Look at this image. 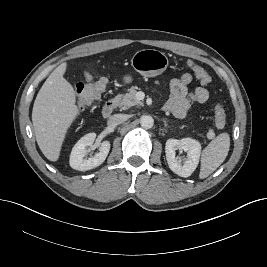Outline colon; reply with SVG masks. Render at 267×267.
<instances>
[{
    "label": "colon",
    "instance_id": "colon-1",
    "mask_svg": "<svg viewBox=\"0 0 267 267\" xmlns=\"http://www.w3.org/2000/svg\"><path fill=\"white\" fill-rule=\"evenodd\" d=\"M189 66L192 68L195 76L200 80L202 84L208 85L211 82V77L207 71L201 66L189 62ZM107 85V80L101 78L96 81H89L87 83H80L77 86V98L76 108L78 111H82L90 107L94 101H96ZM214 118L216 127L222 129L226 125V112L221 104H217L214 110Z\"/></svg>",
    "mask_w": 267,
    "mask_h": 267
}]
</instances>
